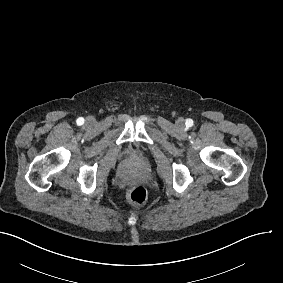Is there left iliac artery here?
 I'll use <instances>...</instances> for the list:
<instances>
[{"label":"left iliac artery","mask_w":283,"mask_h":283,"mask_svg":"<svg viewBox=\"0 0 283 283\" xmlns=\"http://www.w3.org/2000/svg\"><path fill=\"white\" fill-rule=\"evenodd\" d=\"M185 124H186V126L191 127V126H193V120L187 119Z\"/></svg>","instance_id":"44dca946"}]
</instances>
